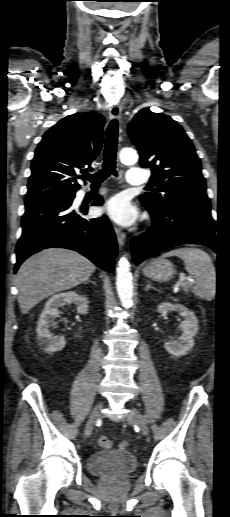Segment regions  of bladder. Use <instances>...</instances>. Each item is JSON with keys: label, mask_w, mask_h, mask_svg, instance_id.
Returning a JSON list of instances; mask_svg holds the SVG:
<instances>
[{"label": "bladder", "mask_w": 230, "mask_h": 517, "mask_svg": "<svg viewBox=\"0 0 230 517\" xmlns=\"http://www.w3.org/2000/svg\"><path fill=\"white\" fill-rule=\"evenodd\" d=\"M137 460L132 454L116 449L95 452L88 459V470L100 477H122L132 473Z\"/></svg>", "instance_id": "obj_1"}]
</instances>
